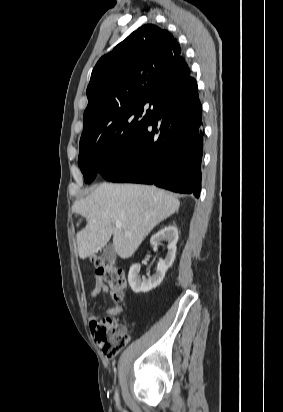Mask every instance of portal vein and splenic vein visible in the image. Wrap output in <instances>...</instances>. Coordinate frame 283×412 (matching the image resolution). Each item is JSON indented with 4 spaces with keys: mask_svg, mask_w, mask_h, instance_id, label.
<instances>
[{
    "mask_svg": "<svg viewBox=\"0 0 283 412\" xmlns=\"http://www.w3.org/2000/svg\"><path fill=\"white\" fill-rule=\"evenodd\" d=\"M115 226H116L117 228H121L122 223H121L120 221H116V222H115Z\"/></svg>",
    "mask_w": 283,
    "mask_h": 412,
    "instance_id": "18ae733b",
    "label": "portal vein and splenic vein"
}]
</instances>
